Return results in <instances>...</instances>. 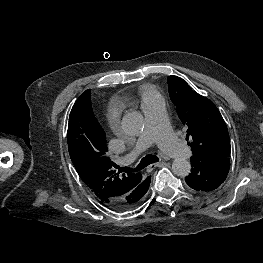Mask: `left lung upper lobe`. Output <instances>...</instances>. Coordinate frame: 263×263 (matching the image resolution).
<instances>
[{
  "instance_id": "5c2ea615",
  "label": "left lung upper lobe",
  "mask_w": 263,
  "mask_h": 263,
  "mask_svg": "<svg viewBox=\"0 0 263 263\" xmlns=\"http://www.w3.org/2000/svg\"><path fill=\"white\" fill-rule=\"evenodd\" d=\"M171 101L182 124L187 128V140L193 159L211 160L230 157L228 130L219 110L208 98L195 92L180 77L167 78Z\"/></svg>"
}]
</instances>
